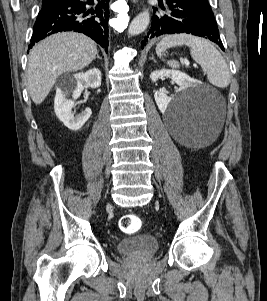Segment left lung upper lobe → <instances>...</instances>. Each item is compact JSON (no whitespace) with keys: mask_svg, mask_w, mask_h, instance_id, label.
<instances>
[{"mask_svg":"<svg viewBox=\"0 0 267 301\" xmlns=\"http://www.w3.org/2000/svg\"><path fill=\"white\" fill-rule=\"evenodd\" d=\"M193 3H195L197 6H199L200 8H202L203 10H205L206 12H208L211 15H214L211 7L208 3V0H189Z\"/></svg>","mask_w":267,"mask_h":301,"instance_id":"5c2ea615","label":"left lung upper lobe"}]
</instances>
